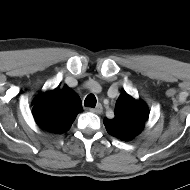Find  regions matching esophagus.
<instances>
[{
    "label": "esophagus",
    "instance_id": "esophagus-1",
    "mask_svg": "<svg viewBox=\"0 0 190 190\" xmlns=\"http://www.w3.org/2000/svg\"><path fill=\"white\" fill-rule=\"evenodd\" d=\"M89 111L96 113V114H101L103 112V107L102 105L99 103L96 105L95 108H89Z\"/></svg>",
    "mask_w": 190,
    "mask_h": 190
}]
</instances>
